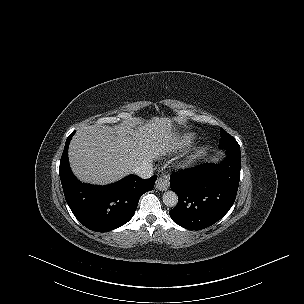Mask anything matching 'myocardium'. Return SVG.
<instances>
[{
    "label": "myocardium",
    "instance_id": "obj_1",
    "mask_svg": "<svg viewBox=\"0 0 304 304\" xmlns=\"http://www.w3.org/2000/svg\"><path fill=\"white\" fill-rule=\"evenodd\" d=\"M197 156H198V153H193V154L187 156L185 158V160L183 161L182 166L183 167H188L190 164H192L195 161Z\"/></svg>",
    "mask_w": 304,
    "mask_h": 304
}]
</instances>
